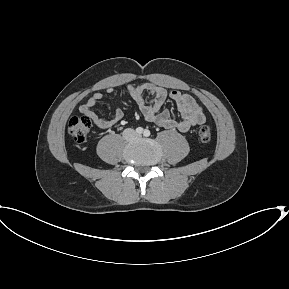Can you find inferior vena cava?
Returning <instances> with one entry per match:
<instances>
[{"label": "inferior vena cava", "mask_w": 289, "mask_h": 289, "mask_svg": "<svg viewBox=\"0 0 289 289\" xmlns=\"http://www.w3.org/2000/svg\"><path fill=\"white\" fill-rule=\"evenodd\" d=\"M123 137L126 140H134L137 137V134L134 129L128 128L123 131Z\"/></svg>", "instance_id": "obj_1"}]
</instances>
